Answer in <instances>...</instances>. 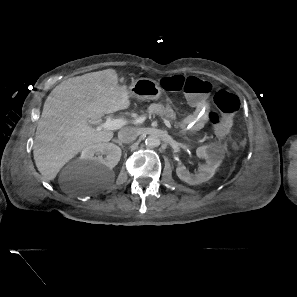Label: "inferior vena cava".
Segmentation results:
<instances>
[{
	"label": "inferior vena cava",
	"mask_w": 297,
	"mask_h": 297,
	"mask_svg": "<svg viewBox=\"0 0 297 297\" xmlns=\"http://www.w3.org/2000/svg\"><path fill=\"white\" fill-rule=\"evenodd\" d=\"M139 135V132L134 127H125L118 132V139L122 143L133 142Z\"/></svg>",
	"instance_id": "inferior-vena-cava-1"
}]
</instances>
